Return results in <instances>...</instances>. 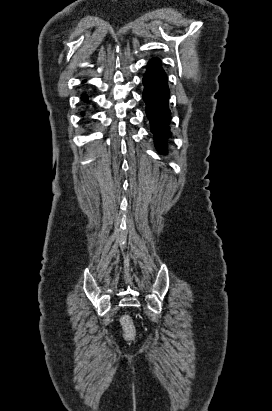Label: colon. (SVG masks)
I'll use <instances>...</instances> for the list:
<instances>
[{
    "instance_id": "colon-1",
    "label": "colon",
    "mask_w": 272,
    "mask_h": 411,
    "mask_svg": "<svg viewBox=\"0 0 272 411\" xmlns=\"http://www.w3.org/2000/svg\"><path fill=\"white\" fill-rule=\"evenodd\" d=\"M120 322L123 328L124 338L130 342L134 341L137 336V331L131 317L128 315H123L120 319Z\"/></svg>"
}]
</instances>
